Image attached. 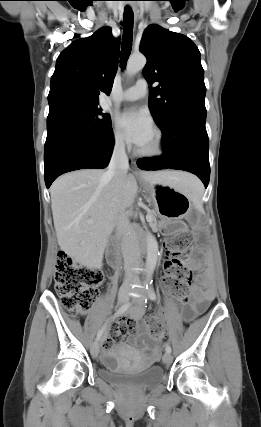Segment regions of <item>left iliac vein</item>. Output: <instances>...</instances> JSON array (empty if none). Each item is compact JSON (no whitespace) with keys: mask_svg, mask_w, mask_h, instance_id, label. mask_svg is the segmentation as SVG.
Listing matches in <instances>:
<instances>
[{"mask_svg":"<svg viewBox=\"0 0 261 427\" xmlns=\"http://www.w3.org/2000/svg\"><path fill=\"white\" fill-rule=\"evenodd\" d=\"M145 299H146L145 295H142V296H140V297L133 298V301H134L138 306L142 307V306L144 305V301H145ZM162 359H163V362H164L166 365H169V364L172 362V360H173L172 355H171L170 353H168V352H166V353L163 355V358H162Z\"/></svg>","mask_w":261,"mask_h":427,"instance_id":"4c4485c4","label":"left iliac vein"}]
</instances>
